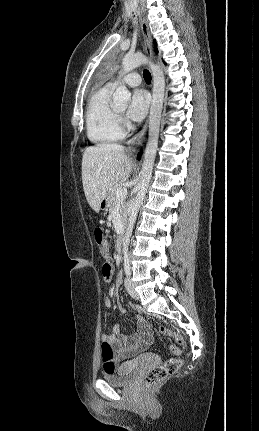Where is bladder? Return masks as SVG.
Listing matches in <instances>:
<instances>
[{
	"label": "bladder",
	"mask_w": 259,
	"mask_h": 431,
	"mask_svg": "<svg viewBox=\"0 0 259 431\" xmlns=\"http://www.w3.org/2000/svg\"><path fill=\"white\" fill-rule=\"evenodd\" d=\"M136 368L135 364H124L115 371H104L102 377L108 383L122 385L132 378Z\"/></svg>",
	"instance_id": "31cf9c89"
}]
</instances>
